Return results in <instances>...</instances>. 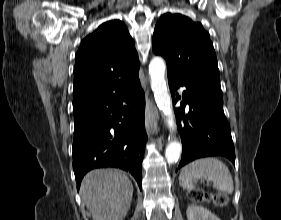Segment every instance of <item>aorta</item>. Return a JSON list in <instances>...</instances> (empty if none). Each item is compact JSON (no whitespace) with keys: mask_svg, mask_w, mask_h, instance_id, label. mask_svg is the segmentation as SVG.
I'll list each match as a JSON object with an SVG mask.
<instances>
[{"mask_svg":"<svg viewBox=\"0 0 281 220\" xmlns=\"http://www.w3.org/2000/svg\"><path fill=\"white\" fill-rule=\"evenodd\" d=\"M166 64L161 57H154L149 64V74L151 77V87L155 101L160 111L166 116V122L170 129H175V121L172 110V101L165 81ZM182 147L176 140H171L165 151V158L172 164L178 161Z\"/></svg>","mask_w":281,"mask_h":220,"instance_id":"obj_1","label":"aorta"}]
</instances>
